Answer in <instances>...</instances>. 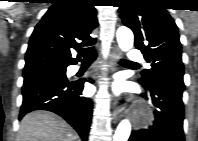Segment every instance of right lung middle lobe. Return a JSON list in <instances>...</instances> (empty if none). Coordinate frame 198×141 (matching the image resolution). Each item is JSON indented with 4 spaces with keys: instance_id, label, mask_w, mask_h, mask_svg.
<instances>
[{
    "instance_id": "dd1d6c3e",
    "label": "right lung middle lobe",
    "mask_w": 198,
    "mask_h": 141,
    "mask_svg": "<svg viewBox=\"0 0 198 141\" xmlns=\"http://www.w3.org/2000/svg\"><path fill=\"white\" fill-rule=\"evenodd\" d=\"M43 74H61V75H66V67L45 68V69H40V70H35V71H30V72H24L23 73V77L27 78V77L43 75Z\"/></svg>"
}]
</instances>
